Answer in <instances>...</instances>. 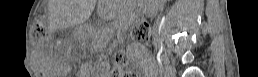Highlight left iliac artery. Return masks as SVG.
Returning <instances> with one entry per match:
<instances>
[{
    "mask_svg": "<svg viewBox=\"0 0 258 77\" xmlns=\"http://www.w3.org/2000/svg\"><path fill=\"white\" fill-rule=\"evenodd\" d=\"M161 53H162V51L159 50V52H158V57H159V58H160Z\"/></svg>",
    "mask_w": 258,
    "mask_h": 77,
    "instance_id": "left-iliac-artery-1",
    "label": "left iliac artery"
}]
</instances>
